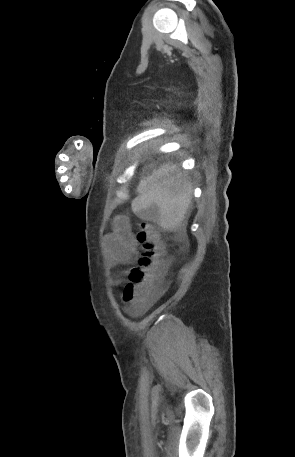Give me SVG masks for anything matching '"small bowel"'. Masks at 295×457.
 I'll list each match as a JSON object with an SVG mask.
<instances>
[{
    "label": "small bowel",
    "instance_id": "obj_1",
    "mask_svg": "<svg viewBox=\"0 0 295 457\" xmlns=\"http://www.w3.org/2000/svg\"><path fill=\"white\" fill-rule=\"evenodd\" d=\"M105 243L113 261L116 263L132 264L136 260L139 241L132 230L128 217L119 215L114 218L112 230L107 234ZM166 290L167 285L165 282L154 284L149 298L138 311L147 309L154 301L162 296Z\"/></svg>",
    "mask_w": 295,
    "mask_h": 457
}]
</instances>
